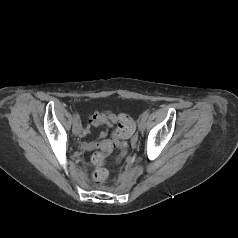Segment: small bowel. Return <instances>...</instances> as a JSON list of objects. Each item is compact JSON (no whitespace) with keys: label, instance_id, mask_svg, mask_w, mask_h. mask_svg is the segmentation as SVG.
Returning <instances> with one entry per match:
<instances>
[{"label":"small bowel","instance_id":"1","mask_svg":"<svg viewBox=\"0 0 238 238\" xmlns=\"http://www.w3.org/2000/svg\"><path fill=\"white\" fill-rule=\"evenodd\" d=\"M121 116L122 115L118 117L117 115L111 112H94L90 116L89 122L94 127L104 126L106 128H110L120 119ZM83 133L84 135L88 134L89 129L88 128L84 129ZM106 135H107V132L102 131L100 132L97 140L83 143L82 147L85 150H95L98 148L102 149L105 145L109 143V140L102 141V139H104Z\"/></svg>","mask_w":238,"mask_h":238}]
</instances>
